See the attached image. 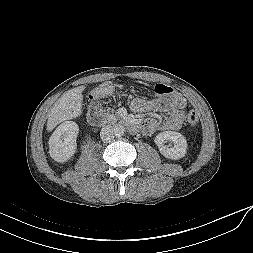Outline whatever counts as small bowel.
<instances>
[{
  "label": "small bowel",
  "instance_id": "obj_1",
  "mask_svg": "<svg viewBox=\"0 0 253 253\" xmlns=\"http://www.w3.org/2000/svg\"><path fill=\"white\" fill-rule=\"evenodd\" d=\"M186 99L178 92L173 91L170 95L161 96L152 101L133 99L130 102V109L136 113L157 111L167 113L169 117L164 121L153 118L145 119L141 128L146 134L158 131L178 130L185 120Z\"/></svg>",
  "mask_w": 253,
  "mask_h": 253
}]
</instances>
